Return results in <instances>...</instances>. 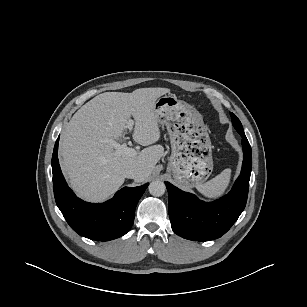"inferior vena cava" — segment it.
<instances>
[{"instance_id":"obj_1","label":"inferior vena cava","mask_w":307,"mask_h":307,"mask_svg":"<svg viewBox=\"0 0 307 307\" xmlns=\"http://www.w3.org/2000/svg\"><path fill=\"white\" fill-rule=\"evenodd\" d=\"M125 178L136 179L140 174L136 169L128 168L123 171Z\"/></svg>"}]
</instances>
